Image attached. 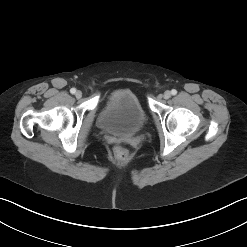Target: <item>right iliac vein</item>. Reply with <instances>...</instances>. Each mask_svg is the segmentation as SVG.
Wrapping results in <instances>:
<instances>
[{"mask_svg": "<svg viewBox=\"0 0 247 247\" xmlns=\"http://www.w3.org/2000/svg\"><path fill=\"white\" fill-rule=\"evenodd\" d=\"M75 96H76V98H81L82 97V92L81 91H77L76 93H75Z\"/></svg>", "mask_w": 247, "mask_h": 247, "instance_id": "1", "label": "right iliac vein"}]
</instances>
